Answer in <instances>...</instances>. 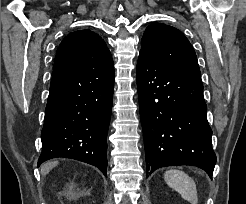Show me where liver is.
I'll return each instance as SVG.
<instances>
[{
  "label": "liver",
  "instance_id": "liver-1",
  "mask_svg": "<svg viewBox=\"0 0 246 204\" xmlns=\"http://www.w3.org/2000/svg\"><path fill=\"white\" fill-rule=\"evenodd\" d=\"M57 165V162L46 163L41 167V174L43 176L47 175L50 170Z\"/></svg>",
  "mask_w": 246,
  "mask_h": 204
}]
</instances>
